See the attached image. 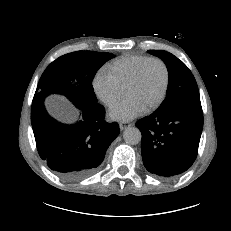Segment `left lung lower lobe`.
Returning <instances> with one entry per match:
<instances>
[{
    "label": "left lung lower lobe",
    "instance_id": "left-lung-lower-lobe-1",
    "mask_svg": "<svg viewBox=\"0 0 231 231\" xmlns=\"http://www.w3.org/2000/svg\"><path fill=\"white\" fill-rule=\"evenodd\" d=\"M145 168L162 178L186 171L195 161L203 129L200 102H186L174 110L156 111L140 119Z\"/></svg>",
    "mask_w": 231,
    "mask_h": 231
}]
</instances>
